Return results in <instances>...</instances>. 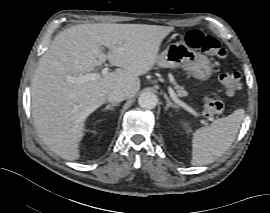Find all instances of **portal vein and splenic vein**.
Here are the masks:
<instances>
[{"label": "portal vein and splenic vein", "instance_id": "obj_1", "mask_svg": "<svg viewBox=\"0 0 270 213\" xmlns=\"http://www.w3.org/2000/svg\"><path fill=\"white\" fill-rule=\"evenodd\" d=\"M109 69L107 67H105L102 70V75H106L108 73ZM100 74L98 73H90V74H86L83 75L81 77H72V76H68L67 77V81L68 82H78V83H83L86 81H90V80H95L97 78H99ZM168 91L170 94V97L173 99V101L178 104L179 106L183 107L185 110H187L188 112H190L191 114H193L194 116H199V114L189 105H187L186 103H184L183 101H181L180 99H178L176 93L174 92V90L171 87H168Z\"/></svg>", "mask_w": 270, "mask_h": 213}]
</instances>
